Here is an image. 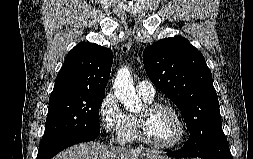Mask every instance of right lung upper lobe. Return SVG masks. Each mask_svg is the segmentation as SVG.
Masks as SVG:
<instances>
[{
    "instance_id": "obj_1",
    "label": "right lung upper lobe",
    "mask_w": 253,
    "mask_h": 159,
    "mask_svg": "<svg viewBox=\"0 0 253 159\" xmlns=\"http://www.w3.org/2000/svg\"><path fill=\"white\" fill-rule=\"evenodd\" d=\"M112 61L110 49L94 43H79L67 54L50 98L81 92L105 93Z\"/></svg>"
}]
</instances>
